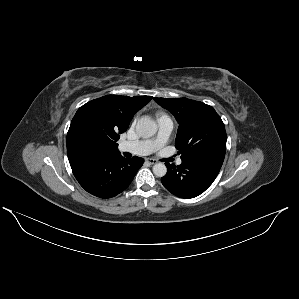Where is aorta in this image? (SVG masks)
<instances>
[{"label":"aorta","instance_id":"obj_1","mask_svg":"<svg viewBox=\"0 0 299 299\" xmlns=\"http://www.w3.org/2000/svg\"><path fill=\"white\" fill-rule=\"evenodd\" d=\"M136 131L142 138H150L157 132V125L153 119L148 116L141 117L136 124ZM153 173L157 177H163L167 173V167L164 163H157L153 166Z\"/></svg>","mask_w":299,"mask_h":299}]
</instances>
